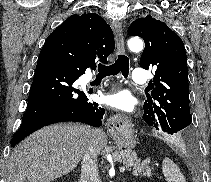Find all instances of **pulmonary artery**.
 <instances>
[{
	"label": "pulmonary artery",
	"mask_w": 211,
	"mask_h": 182,
	"mask_svg": "<svg viewBox=\"0 0 211 182\" xmlns=\"http://www.w3.org/2000/svg\"><path fill=\"white\" fill-rule=\"evenodd\" d=\"M132 79L137 84H145L147 81L146 72L142 68H135L132 73Z\"/></svg>",
	"instance_id": "1"
}]
</instances>
